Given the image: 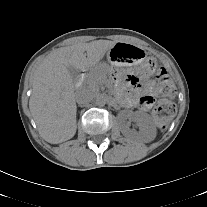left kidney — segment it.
Segmentation results:
<instances>
[{
	"instance_id": "obj_1",
	"label": "left kidney",
	"mask_w": 207,
	"mask_h": 207,
	"mask_svg": "<svg viewBox=\"0 0 207 207\" xmlns=\"http://www.w3.org/2000/svg\"><path fill=\"white\" fill-rule=\"evenodd\" d=\"M118 118L120 119L122 124L121 126L123 135L131 136L133 134L132 131L128 128V126L125 125V120L129 118L133 119L139 126V136L144 142H150L154 140V138L156 137V127L154 125L152 118L148 114L139 111H123L118 115Z\"/></svg>"
}]
</instances>
